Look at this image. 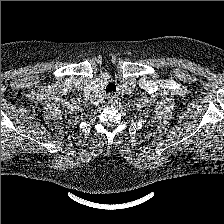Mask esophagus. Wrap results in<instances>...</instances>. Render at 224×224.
<instances>
[{"label":"esophagus","instance_id":"1","mask_svg":"<svg viewBox=\"0 0 224 224\" xmlns=\"http://www.w3.org/2000/svg\"><path fill=\"white\" fill-rule=\"evenodd\" d=\"M115 101H116V99L114 97H110L109 100H108V102L110 104H113Z\"/></svg>","mask_w":224,"mask_h":224}]
</instances>
